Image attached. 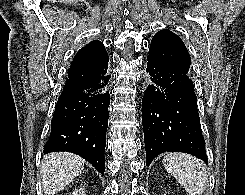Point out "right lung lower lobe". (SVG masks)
I'll return each mask as SVG.
<instances>
[{"label":"right lung lower lobe","mask_w":245,"mask_h":195,"mask_svg":"<svg viewBox=\"0 0 245 195\" xmlns=\"http://www.w3.org/2000/svg\"><path fill=\"white\" fill-rule=\"evenodd\" d=\"M107 68L93 74L68 77L51 121V133L44 154L75 153L90 162L102 175L108 127Z\"/></svg>","instance_id":"obj_1"}]
</instances>
